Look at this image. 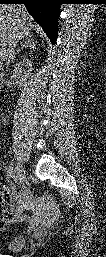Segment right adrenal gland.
Here are the masks:
<instances>
[{
    "mask_svg": "<svg viewBox=\"0 0 106 257\" xmlns=\"http://www.w3.org/2000/svg\"><path fill=\"white\" fill-rule=\"evenodd\" d=\"M29 47L30 49H36V41L30 36V37H25L23 40V43L21 44V47L14 53L13 58H12V63H14V59L16 58V55L21 52L23 48Z\"/></svg>",
    "mask_w": 106,
    "mask_h": 257,
    "instance_id": "1",
    "label": "right adrenal gland"
}]
</instances>
